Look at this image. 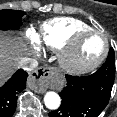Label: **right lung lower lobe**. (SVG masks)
I'll list each match as a JSON object with an SVG mask.
<instances>
[{"instance_id": "right-lung-lower-lobe-1", "label": "right lung lower lobe", "mask_w": 117, "mask_h": 117, "mask_svg": "<svg viewBox=\"0 0 117 117\" xmlns=\"http://www.w3.org/2000/svg\"><path fill=\"white\" fill-rule=\"evenodd\" d=\"M27 72L22 69L0 88V117H12L16 109L17 94L26 88Z\"/></svg>"}]
</instances>
